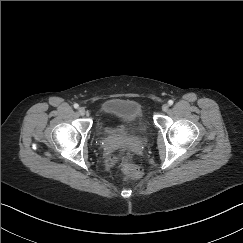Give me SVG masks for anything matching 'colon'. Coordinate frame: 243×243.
Wrapping results in <instances>:
<instances>
[{
    "label": "colon",
    "instance_id": "1",
    "mask_svg": "<svg viewBox=\"0 0 243 243\" xmlns=\"http://www.w3.org/2000/svg\"><path fill=\"white\" fill-rule=\"evenodd\" d=\"M117 159L119 161L120 170L123 172L126 178L139 179L142 177L143 170L140 167L132 164L125 152H118Z\"/></svg>",
    "mask_w": 243,
    "mask_h": 243
}]
</instances>
